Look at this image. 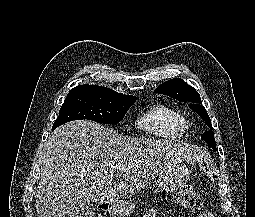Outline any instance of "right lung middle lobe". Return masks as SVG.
Listing matches in <instances>:
<instances>
[{"label": "right lung middle lobe", "instance_id": "dd1d6c3e", "mask_svg": "<svg viewBox=\"0 0 255 217\" xmlns=\"http://www.w3.org/2000/svg\"><path fill=\"white\" fill-rule=\"evenodd\" d=\"M136 97L90 91L69 92L53 129L73 120L87 119L102 124H116L122 120Z\"/></svg>", "mask_w": 255, "mask_h": 217}]
</instances>
